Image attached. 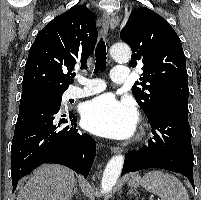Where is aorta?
<instances>
[{"instance_id": "obj_1", "label": "aorta", "mask_w": 201, "mask_h": 200, "mask_svg": "<svg viewBox=\"0 0 201 200\" xmlns=\"http://www.w3.org/2000/svg\"><path fill=\"white\" fill-rule=\"evenodd\" d=\"M111 57L116 61L127 62L131 58V50L124 43L114 44L110 49ZM124 163L123 155L113 156L106 165L103 172L101 188L103 192H109L116 184Z\"/></svg>"}]
</instances>
